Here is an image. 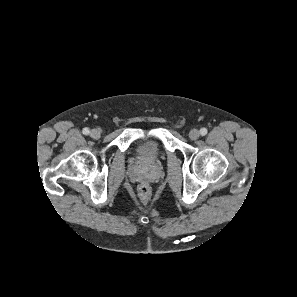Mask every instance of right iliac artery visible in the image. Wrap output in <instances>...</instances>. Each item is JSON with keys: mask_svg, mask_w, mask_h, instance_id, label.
Masks as SVG:
<instances>
[{"mask_svg": "<svg viewBox=\"0 0 297 297\" xmlns=\"http://www.w3.org/2000/svg\"><path fill=\"white\" fill-rule=\"evenodd\" d=\"M89 132H90V131H89V129H88V128H84V129H83V134H84V135H87V134H89Z\"/></svg>", "mask_w": 297, "mask_h": 297, "instance_id": "82829eb1", "label": "right iliac artery"}]
</instances>
